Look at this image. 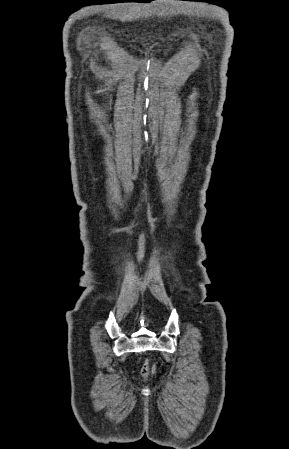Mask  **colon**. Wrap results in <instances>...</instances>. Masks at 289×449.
Segmentation results:
<instances>
[{
    "mask_svg": "<svg viewBox=\"0 0 289 449\" xmlns=\"http://www.w3.org/2000/svg\"><path fill=\"white\" fill-rule=\"evenodd\" d=\"M155 372V366L154 365H146L144 368H143V375L146 377V376H149L150 374H153Z\"/></svg>",
    "mask_w": 289,
    "mask_h": 449,
    "instance_id": "colon-1",
    "label": "colon"
}]
</instances>
